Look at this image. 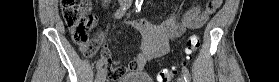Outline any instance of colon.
<instances>
[{
    "instance_id": "1",
    "label": "colon",
    "mask_w": 279,
    "mask_h": 82,
    "mask_svg": "<svg viewBox=\"0 0 279 82\" xmlns=\"http://www.w3.org/2000/svg\"><path fill=\"white\" fill-rule=\"evenodd\" d=\"M210 6L218 8L222 0H209ZM60 7L65 25L72 34L73 41L84 46L82 49L85 57L92 56L93 48L89 45V32L95 25V17L91 13L90 1L87 0H60ZM200 46V37L196 34L188 39L185 53L190 55ZM179 64L161 69L156 76V82H170L172 77L177 74Z\"/></svg>"
}]
</instances>
